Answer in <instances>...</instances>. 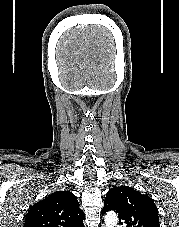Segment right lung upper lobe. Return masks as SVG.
<instances>
[{"label": "right lung upper lobe", "instance_id": "1", "mask_svg": "<svg viewBox=\"0 0 179 227\" xmlns=\"http://www.w3.org/2000/svg\"><path fill=\"white\" fill-rule=\"evenodd\" d=\"M84 212L70 191H58L34 204L23 227H84Z\"/></svg>", "mask_w": 179, "mask_h": 227}]
</instances>
